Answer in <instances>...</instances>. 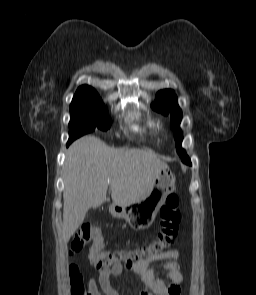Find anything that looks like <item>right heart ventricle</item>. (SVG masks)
Returning <instances> with one entry per match:
<instances>
[{
  "label": "right heart ventricle",
  "mask_w": 256,
  "mask_h": 295,
  "mask_svg": "<svg viewBox=\"0 0 256 295\" xmlns=\"http://www.w3.org/2000/svg\"><path fill=\"white\" fill-rule=\"evenodd\" d=\"M147 126H150V127L154 126V122L151 121V120H148V121H147ZM138 127H139V126H135V128H138Z\"/></svg>",
  "instance_id": "e07e8e85"
}]
</instances>
